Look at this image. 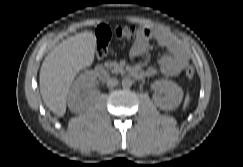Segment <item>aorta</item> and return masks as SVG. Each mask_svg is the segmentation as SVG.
<instances>
[{"mask_svg":"<svg viewBox=\"0 0 243 167\" xmlns=\"http://www.w3.org/2000/svg\"><path fill=\"white\" fill-rule=\"evenodd\" d=\"M133 84V81L130 78H123L122 80V87L123 88H130Z\"/></svg>","mask_w":243,"mask_h":167,"instance_id":"1","label":"aorta"}]
</instances>
